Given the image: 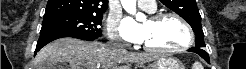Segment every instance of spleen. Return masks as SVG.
<instances>
[{
  "label": "spleen",
  "mask_w": 246,
  "mask_h": 69,
  "mask_svg": "<svg viewBox=\"0 0 246 69\" xmlns=\"http://www.w3.org/2000/svg\"><path fill=\"white\" fill-rule=\"evenodd\" d=\"M192 69H203V66L197 61L193 64Z\"/></svg>",
  "instance_id": "3e777b00"
}]
</instances>
